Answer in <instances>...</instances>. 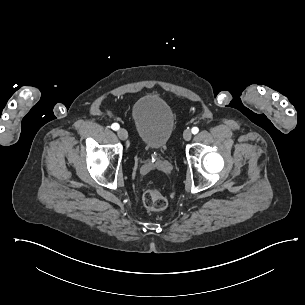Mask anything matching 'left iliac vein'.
Wrapping results in <instances>:
<instances>
[{"label":"left iliac vein","instance_id":"obj_1","mask_svg":"<svg viewBox=\"0 0 305 305\" xmlns=\"http://www.w3.org/2000/svg\"><path fill=\"white\" fill-rule=\"evenodd\" d=\"M183 138H184V140L185 141H189V140H191V138H192V132H191V130H185L184 131V134H183Z\"/></svg>","mask_w":305,"mask_h":305}]
</instances>
